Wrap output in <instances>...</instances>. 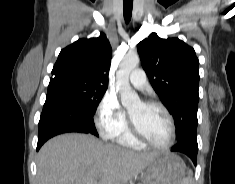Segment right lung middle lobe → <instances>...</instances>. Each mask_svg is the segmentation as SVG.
Returning a JSON list of instances; mask_svg holds the SVG:
<instances>
[{"label": "right lung middle lobe", "mask_w": 235, "mask_h": 184, "mask_svg": "<svg viewBox=\"0 0 235 184\" xmlns=\"http://www.w3.org/2000/svg\"><path fill=\"white\" fill-rule=\"evenodd\" d=\"M107 87L67 82L54 92L72 100L88 114L94 115Z\"/></svg>", "instance_id": "right-lung-middle-lobe-1"}]
</instances>
